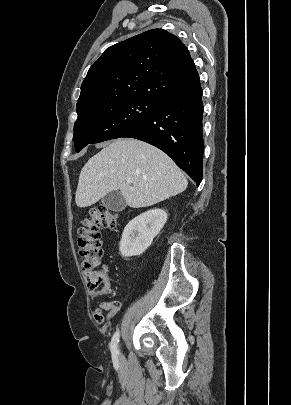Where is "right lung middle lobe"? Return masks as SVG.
<instances>
[{"instance_id": "dd1d6c3e", "label": "right lung middle lobe", "mask_w": 291, "mask_h": 405, "mask_svg": "<svg viewBox=\"0 0 291 405\" xmlns=\"http://www.w3.org/2000/svg\"><path fill=\"white\" fill-rule=\"evenodd\" d=\"M157 106L158 100L130 97L77 110L73 136L76 152L90 143L123 137L144 123Z\"/></svg>"}]
</instances>
